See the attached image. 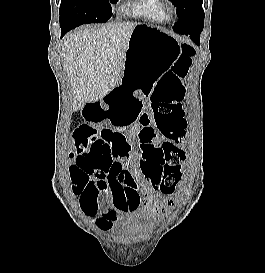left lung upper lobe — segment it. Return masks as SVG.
<instances>
[{
	"mask_svg": "<svg viewBox=\"0 0 265 273\" xmlns=\"http://www.w3.org/2000/svg\"><path fill=\"white\" fill-rule=\"evenodd\" d=\"M177 7L178 22L183 16H187L192 12H200L204 17V11L202 9L203 0H170Z\"/></svg>",
	"mask_w": 265,
	"mask_h": 273,
	"instance_id": "1",
	"label": "left lung upper lobe"
}]
</instances>
